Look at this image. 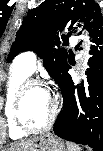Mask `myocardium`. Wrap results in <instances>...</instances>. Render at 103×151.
<instances>
[{
  "label": "myocardium",
  "mask_w": 103,
  "mask_h": 151,
  "mask_svg": "<svg viewBox=\"0 0 103 151\" xmlns=\"http://www.w3.org/2000/svg\"><path fill=\"white\" fill-rule=\"evenodd\" d=\"M32 87H42L45 89L50 97L51 100V110L46 123L41 127H30L23 122L20 115L22 101L28 92V90ZM59 108V100L57 96L54 94L52 89L42 80L37 79H27L22 83L20 88L15 94L13 104H12V118L15 125L25 133H41L51 128L53 125Z\"/></svg>",
  "instance_id": "obj_1"
}]
</instances>
